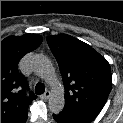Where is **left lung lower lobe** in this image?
<instances>
[{
    "label": "left lung lower lobe",
    "mask_w": 123,
    "mask_h": 123,
    "mask_svg": "<svg viewBox=\"0 0 123 123\" xmlns=\"http://www.w3.org/2000/svg\"><path fill=\"white\" fill-rule=\"evenodd\" d=\"M53 118L58 122V123H78L74 120H72L71 118H69L68 116L59 113V114H53Z\"/></svg>",
    "instance_id": "obj_1"
}]
</instances>
